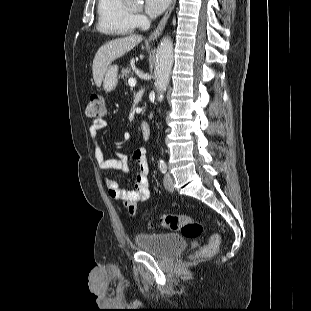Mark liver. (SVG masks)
Here are the masks:
<instances>
[{"label":"liver","instance_id":"6515ba94","mask_svg":"<svg viewBox=\"0 0 311 311\" xmlns=\"http://www.w3.org/2000/svg\"><path fill=\"white\" fill-rule=\"evenodd\" d=\"M142 40L141 35H130L112 40L98 49L92 65L93 79L97 87L101 86L110 64L131 51Z\"/></svg>","mask_w":311,"mask_h":311}]
</instances>
